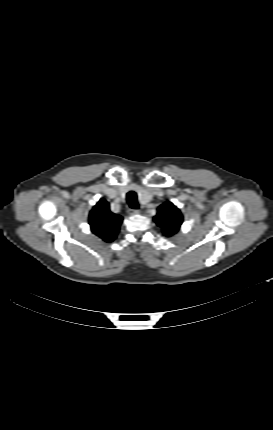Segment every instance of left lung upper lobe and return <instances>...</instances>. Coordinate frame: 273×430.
<instances>
[{"instance_id":"1","label":"left lung upper lobe","mask_w":273,"mask_h":430,"mask_svg":"<svg viewBox=\"0 0 273 430\" xmlns=\"http://www.w3.org/2000/svg\"><path fill=\"white\" fill-rule=\"evenodd\" d=\"M182 214L180 210L171 202H165L158 208V213L154 217V221L162 228L163 234L172 236L175 234L182 224Z\"/></svg>"}]
</instances>
